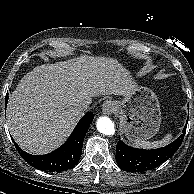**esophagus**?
I'll return each instance as SVG.
<instances>
[{
    "label": "esophagus",
    "instance_id": "1",
    "mask_svg": "<svg viewBox=\"0 0 194 194\" xmlns=\"http://www.w3.org/2000/svg\"><path fill=\"white\" fill-rule=\"evenodd\" d=\"M115 109V105L112 101L107 100L102 105V112L104 114L110 115Z\"/></svg>",
    "mask_w": 194,
    "mask_h": 194
}]
</instances>
